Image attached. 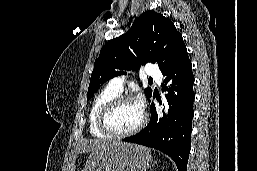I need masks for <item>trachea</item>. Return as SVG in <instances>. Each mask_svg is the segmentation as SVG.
<instances>
[{"label":"trachea","mask_w":257,"mask_h":171,"mask_svg":"<svg viewBox=\"0 0 257 171\" xmlns=\"http://www.w3.org/2000/svg\"><path fill=\"white\" fill-rule=\"evenodd\" d=\"M149 81H150V82H152V81H153V79L149 78Z\"/></svg>","instance_id":"trachea-1"}]
</instances>
